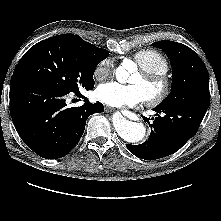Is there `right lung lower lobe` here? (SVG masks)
I'll return each instance as SVG.
<instances>
[{
  "label": "right lung lower lobe",
  "mask_w": 221,
  "mask_h": 221,
  "mask_svg": "<svg viewBox=\"0 0 221 221\" xmlns=\"http://www.w3.org/2000/svg\"><path fill=\"white\" fill-rule=\"evenodd\" d=\"M79 93V92H75ZM44 82L12 76L10 113L23 142L36 154L57 159L68 154L83 135L86 120L104 111L101 103L67 108L65 95Z\"/></svg>",
  "instance_id": "98d812e1"
}]
</instances>
